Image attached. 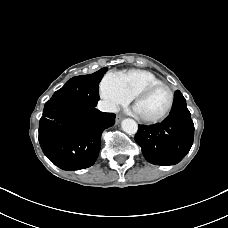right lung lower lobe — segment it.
<instances>
[{
  "label": "right lung lower lobe",
  "mask_w": 228,
  "mask_h": 228,
  "mask_svg": "<svg viewBox=\"0 0 228 228\" xmlns=\"http://www.w3.org/2000/svg\"><path fill=\"white\" fill-rule=\"evenodd\" d=\"M114 123L113 113L49 100L40 119L39 142L44 154L59 168L84 169L95 163L101 134Z\"/></svg>",
  "instance_id": "right-lung-lower-lobe-1"
}]
</instances>
